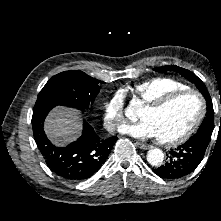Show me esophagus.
<instances>
[{
    "instance_id": "34e87169",
    "label": "esophagus",
    "mask_w": 221,
    "mask_h": 221,
    "mask_svg": "<svg viewBox=\"0 0 221 221\" xmlns=\"http://www.w3.org/2000/svg\"><path fill=\"white\" fill-rule=\"evenodd\" d=\"M137 147H139L140 149L146 150L149 149V145L145 144V143H141V142H136Z\"/></svg>"
}]
</instances>
